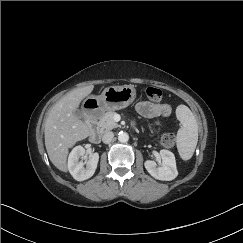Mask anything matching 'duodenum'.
<instances>
[{"label": "duodenum", "mask_w": 243, "mask_h": 243, "mask_svg": "<svg viewBox=\"0 0 243 243\" xmlns=\"http://www.w3.org/2000/svg\"><path fill=\"white\" fill-rule=\"evenodd\" d=\"M99 114L102 113V110L98 111ZM102 138L101 132L98 129V126L96 123H92L91 124V130H90V135H89V139L92 143H100Z\"/></svg>", "instance_id": "410a0bca"}]
</instances>
